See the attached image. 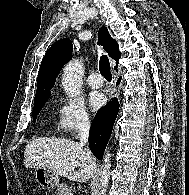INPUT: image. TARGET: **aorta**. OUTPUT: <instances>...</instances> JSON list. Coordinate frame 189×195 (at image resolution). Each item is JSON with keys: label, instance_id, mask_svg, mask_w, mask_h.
Masks as SVG:
<instances>
[{"label": "aorta", "instance_id": "762f6f07", "mask_svg": "<svg viewBox=\"0 0 189 195\" xmlns=\"http://www.w3.org/2000/svg\"><path fill=\"white\" fill-rule=\"evenodd\" d=\"M83 75L84 69L81 61L73 60L65 66L62 76V85L65 93L68 96L74 97L80 94L82 88ZM103 161L104 163L101 167V174L99 179L101 195H105L109 182V170L111 166L110 154H107Z\"/></svg>", "mask_w": 189, "mask_h": 195}]
</instances>
